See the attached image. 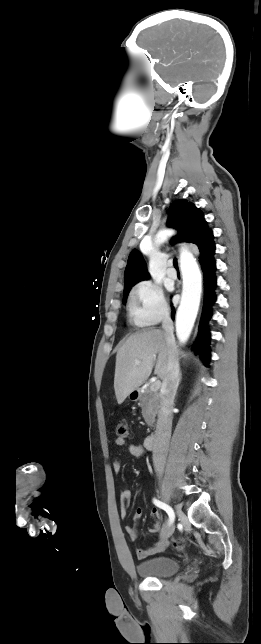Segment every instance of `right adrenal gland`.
Instances as JSON below:
<instances>
[{
    "label": "right adrenal gland",
    "instance_id": "right-adrenal-gland-1",
    "mask_svg": "<svg viewBox=\"0 0 261 644\" xmlns=\"http://www.w3.org/2000/svg\"><path fill=\"white\" fill-rule=\"evenodd\" d=\"M179 381H181V375H180V379H179Z\"/></svg>",
    "mask_w": 261,
    "mask_h": 644
}]
</instances>
